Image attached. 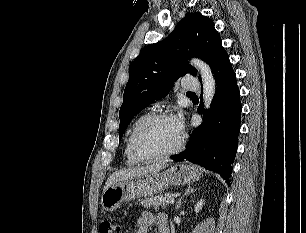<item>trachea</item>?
Masks as SVG:
<instances>
[{
  "instance_id": "trachea-1",
  "label": "trachea",
  "mask_w": 306,
  "mask_h": 233,
  "mask_svg": "<svg viewBox=\"0 0 306 233\" xmlns=\"http://www.w3.org/2000/svg\"><path fill=\"white\" fill-rule=\"evenodd\" d=\"M189 94H195V93H192V92H188Z\"/></svg>"
}]
</instances>
